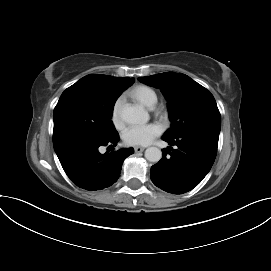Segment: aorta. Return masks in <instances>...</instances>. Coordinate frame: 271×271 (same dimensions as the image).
Wrapping results in <instances>:
<instances>
[{"label":"aorta","mask_w":271,"mask_h":271,"mask_svg":"<svg viewBox=\"0 0 271 271\" xmlns=\"http://www.w3.org/2000/svg\"><path fill=\"white\" fill-rule=\"evenodd\" d=\"M121 118L129 124L145 123L149 120L148 112L140 105H125L121 110ZM145 158L157 163L162 158V152L157 147H149L145 151Z\"/></svg>","instance_id":"762f6f07"}]
</instances>
